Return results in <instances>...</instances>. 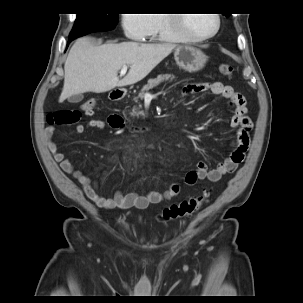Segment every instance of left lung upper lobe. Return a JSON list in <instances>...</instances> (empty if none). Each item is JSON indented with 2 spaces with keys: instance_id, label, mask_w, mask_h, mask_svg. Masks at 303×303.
<instances>
[{
  "instance_id": "1",
  "label": "left lung upper lobe",
  "mask_w": 303,
  "mask_h": 303,
  "mask_svg": "<svg viewBox=\"0 0 303 303\" xmlns=\"http://www.w3.org/2000/svg\"><path fill=\"white\" fill-rule=\"evenodd\" d=\"M226 17H228L229 16V14L228 15H226V14H224Z\"/></svg>"
}]
</instances>
